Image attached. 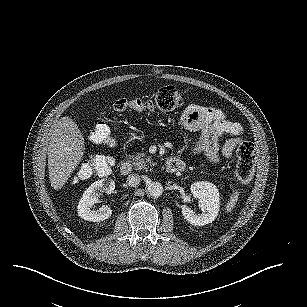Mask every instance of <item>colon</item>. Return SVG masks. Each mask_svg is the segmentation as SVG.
<instances>
[{"mask_svg":"<svg viewBox=\"0 0 307 307\" xmlns=\"http://www.w3.org/2000/svg\"><path fill=\"white\" fill-rule=\"evenodd\" d=\"M183 104L182 94L173 86L160 88L150 98H120L115 101L116 111L134 109L170 111ZM90 141L94 144L114 146L116 139L110 128L103 123L98 124L90 134ZM236 175L239 182L248 185L254 177V147L249 141H240L236 145ZM114 160L104 155L89 156L79 165L75 178L86 179L94 175H106L110 172Z\"/></svg>","mask_w":307,"mask_h":307,"instance_id":"5ec220e1","label":"colon"}]
</instances>
